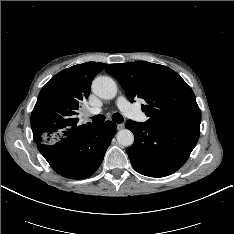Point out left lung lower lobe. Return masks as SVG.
<instances>
[{"label": "left lung lower lobe", "mask_w": 234, "mask_h": 234, "mask_svg": "<svg viewBox=\"0 0 234 234\" xmlns=\"http://www.w3.org/2000/svg\"><path fill=\"white\" fill-rule=\"evenodd\" d=\"M125 127L135 136L127 154L134 169L149 177H164L177 171L189 158L200 125L149 124L128 120Z\"/></svg>", "instance_id": "obj_1"}]
</instances>
